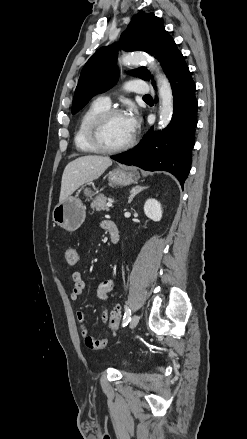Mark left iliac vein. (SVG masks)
Masks as SVG:
<instances>
[{
    "label": "left iliac vein",
    "mask_w": 247,
    "mask_h": 439,
    "mask_svg": "<svg viewBox=\"0 0 247 439\" xmlns=\"http://www.w3.org/2000/svg\"><path fill=\"white\" fill-rule=\"evenodd\" d=\"M138 322H139V316L134 315L129 325L130 329H134L138 325Z\"/></svg>",
    "instance_id": "4c4485c4"
}]
</instances>
